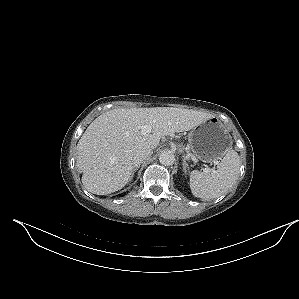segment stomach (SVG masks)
I'll return each instance as SVG.
<instances>
[{
  "instance_id": "1",
  "label": "stomach",
  "mask_w": 299,
  "mask_h": 299,
  "mask_svg": "<svg viewBox=\"0 0 299 299\" xmlns=\"http://www.w3.org/2000/svg\"><path fill=\"white\" fill-rule=\"evenodd\" d=\"M188 142L194 155L207 162L221 159L232 147L228 130L216 117L195 126L188 134Z\"/></svg>"
}]
</instances>
